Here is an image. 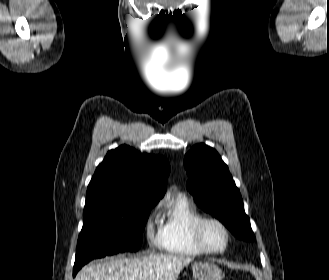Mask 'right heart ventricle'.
<instances>
[{
  "instance_id": "1",
  "label": "right heart ventricle",
  "mask_w": 329,
  "mask_h": 280,
  "mask_svg": "<svg viewBox=\"0 0 329 280\" xmlns=\"http://www.w3.org/2000/svg\"><path fill=\"white\" fill-rule=\"evenodd\" d=\"M202 217L201 211L186 195L178 194L172 197L165 206L159 247L177 256L204 255L193 240L194 224Z\"/></svg>"
}]
</instances>
